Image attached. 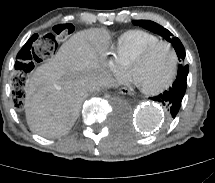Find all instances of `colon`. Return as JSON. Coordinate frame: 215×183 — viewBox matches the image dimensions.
<instances>
[{
	"instance_id": "1",
	"label": "colon",
	"mask_w": 215,
	"mask_h": 183,
	"mask_svg": "<svg viewBox=\"0 0 215 183\" xmlns=\"http://www.w3.org/2000/svg\"><path fill=\"white\" fill-rule=\"evenodd\" d=\"M74 31L70 23H60L53 27L51 33L36 30L31 37L26 38L15 47L14 72L12 77L13 112L23 115L26 112V104L23 102L27 75L34 69L35 65L50 60L58 47L60 41L67 39Z\"/></svg>"
}]
</instances>
